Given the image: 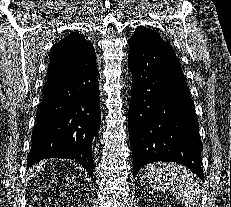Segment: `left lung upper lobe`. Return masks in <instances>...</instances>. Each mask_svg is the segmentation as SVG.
<instances>
[{
	"instance_id": "left-lung-upper-lobe-1",
	"label": "left lung upper lobe",
	"mask_w": 231,
	"mask_h": 207,
	"mask_svg": "<svg viewBox=\"0 0 231 207\" xmlns=\"http://www.w3.org/2000/svg\"><path fill=\"white\" fill-rule=\"evenodd\" d=\"M132 43H150L159 45H170L168 42L162 40V38L156 34L153 30L146 27H139L131 37Z\"/></svg>"
}]
</instances>
